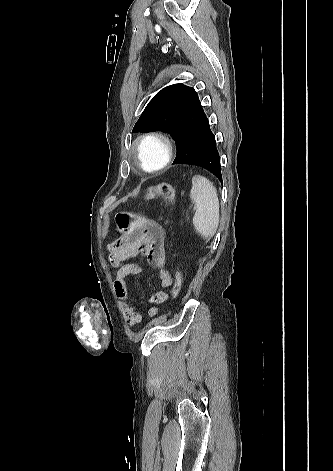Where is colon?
Returning <instances> with one entry per match:
<instances>
[{"label":"colon","instance_id":"colon-1","mask_svg":"<svg viewBox=\"0 0 333 471\" xmlns=\"http://www.w3.org/2000/svg\"><path fill=\"white\" fill-rule=\"evenodd\" d=\"M155 198H161L169 204H173L176 199V191L171 184L159 183L153 185L147 189L144 195L145 200H153ZM183 283V276L179 266H176L175 281L172 287V296L177 299L180 295Z\"/></svg>","mask_w":333,"mask_h":471}]
</instances>
